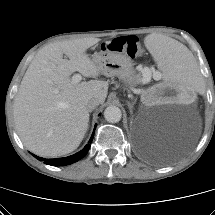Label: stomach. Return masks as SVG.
Returning a JSON list of instances; mask_svg holds the SVG:
<instances>
[{"label":"stomach","mask_w":215,"mask_h":215,"mask_svg":"<svg viewBox=\"0 0 215 215\" xmlns=\"http://www.w3.org/2000/svg\"><path fill=\"white\" fill-rule=\"evenodd\" d=\"M92 59L101 74L109 77L116 76L129 88L139 84L140 77L134 69L131 58L126 54L101 50L95 53Z\"/></svg>","instance_id":"stomach-1"}]
</instances>
